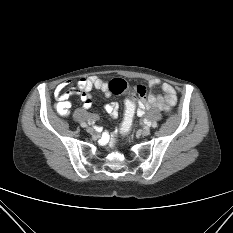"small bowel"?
I'll return each instance as SVG.
<instances>
[{"mask_svg": "<svg viewBox=\"0 0 233 233\" xmlns=\"http://www.w3.org/2000/svg\"><path fill=\"white\" fill-rule=\"evenodd\" d=\"M160 84V82L156 79H152L149 81L150 87H156ZM70 86L65 92L63 90ZM162 96H156L151 93L146 100H141L137 105L136 114L138 116H142L145 112L146 108L156 106L161 108H169L173 106L176 102L177 96L174 87L168 83L162 84ZM93 89H97L102 91L106 95H110L111 91L109 88V83L96 77L91 76L88 78H82L77 83L63 82L56 86L54 96H55V108L57 112L63 116L68 117L71 113V101L75 96L80 97L83 101L84 109L88 110L92 107V100L90 92ZM105 112L113 119H116L119 114V104L117 102H111L104 106ZM97 119L95 114L90 116V120L93 122ZM111 146L114 145V141H112Z\"/></svg>", "mask_w": 233, "mask_h": 233, "instance_id": "1", "label": "small bowel"}]
</instances>
